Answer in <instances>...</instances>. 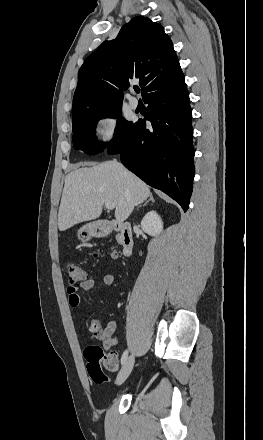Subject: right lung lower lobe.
Segmentation results:
<instances>
[{
  "instance_id": "1",
  "label": "right lung lower lobe",
  "mask_w": 263,
  "mask_h": 440,
  "mask_svg": "<svg viewBox=\"0 0 263 440\" xmlns=\"http://www.w3.org/2000/svg\"><path fill=\"white\" fill-rule=\"evenodd\" d=\"M147 120L135 122L119 143L108 146L121 153L126 168L148 185L160 189L186 211L192 194L195 168L192 112L182 71L150 89L143 97Z\"/></svg>"
}]
</instances>
